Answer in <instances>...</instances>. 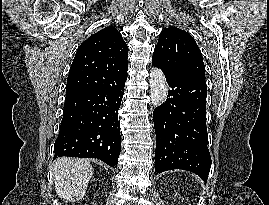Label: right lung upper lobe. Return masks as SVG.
<instances>
[{"mask_svg": "<svg viewBox=\"0 0 269 205\" xmlns=\"http://www.w3.org/2000/svg\"><path fill=\"white\" fill-rule=\"evenodd\" d=\"M128 47L112 26L101 29L77 49L66 85V96L120 84L128 68Z\"/></svg>", "mask_w": 269, "mask_h": 205, "instance_id": "right-lung-upper-lobe-1", "label": "right lung upper lobe"}]
</instances>
